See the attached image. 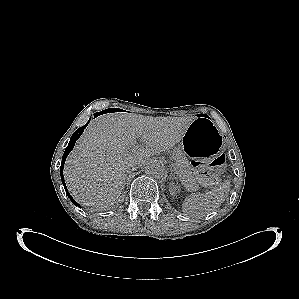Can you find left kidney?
Wrapping results in <instances>:
<instances>
[{
	"mask_svg": "<svg viewBox=\"0 0 299 299\" xmlns=\"http://www.w3.org/2000/svg\"><path fill=\"white\" fill-rule=\"evenodd\" d=\"M179 190L180 189H179V186L177 184H174V183L170 184L169 191H170L171 195L175 196L179 192Z\"/></svg>",
	"mask_w": 299,
	"mask_h": 299,
	"instance_id": "5707ae66",
	"label": "left kidney"
}]
</instances>
